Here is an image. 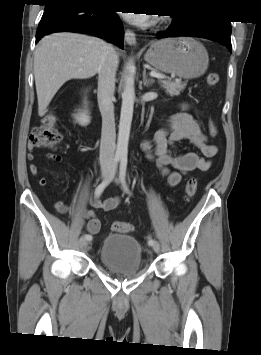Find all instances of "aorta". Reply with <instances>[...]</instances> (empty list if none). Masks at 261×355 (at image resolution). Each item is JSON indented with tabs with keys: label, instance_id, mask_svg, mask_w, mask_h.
<instances>
[{
	"label": "aorta",
	"instance_id": "obj_1",
	"mask_svg": "<svg viewBox=\"0 0 261 355\" xmlns=\"http://www.w3.org/2000/svg\"><path fill=\"white\" fill-rule=\"evenodd\" d=\"M134 71L135 66L133 62L130 61L127 65V74L125 77V85L122 93V106L116 147V156L119 158L127 157L128 154V142L135 101L134 79L132 77V73Z\"/></svg>",
	"mask_w": 261,
	"mask_h": 355
}]
</instances>
